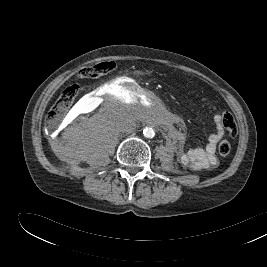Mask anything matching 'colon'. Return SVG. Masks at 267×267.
<instances>
[{
    "label": "colon",
    "mask_w": 267,
    "mask_h": 267,
    "mask_svg": "<svg viewBox=\"0 0 267 267\" xmlns=\"http://www.w3.org/2000/svg\"><path fill=\"white\" fill-rule=\"evenodd\" d=\"M111 68L112 66L110 62H102L96 65L83 67L79 71L78 75L83 79L97 78L111 70ZM77 94L78 87L76 85L68 86L63 90L57 101L47 113L46 123L49 127H54L59 124L69 108L72 106ZM223 124L231 136L236 134V122L231 113H224ZM218 151L221 156H227L231 151L230 142L228 140L221 141L218 146Z\"/></svg>",
    "instance_id": "colon-1"
}]
</instances>
